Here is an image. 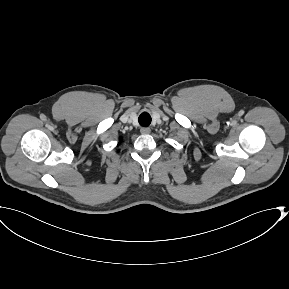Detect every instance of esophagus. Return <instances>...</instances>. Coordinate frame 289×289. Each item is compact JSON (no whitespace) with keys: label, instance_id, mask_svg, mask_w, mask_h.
I'll return each mask as SVG.
<instances>
[{"label":"esophagus","instance_id":"esophagus-1","mask_svg":"<svg viewBox=\"0 0 289 289\" xmlns=\"http://www.w3.org/2000/svg\"><path fill=\"white\" fill-rule=\"evenodd\" d=\"M150 128H148V127H142L141 129H140V132L142 133V134H149L150 133Z\"/></svg>","mask_w":289,"mask_h":289}]
</instances>
